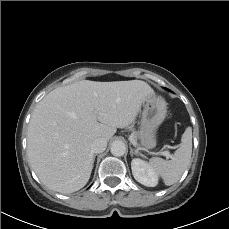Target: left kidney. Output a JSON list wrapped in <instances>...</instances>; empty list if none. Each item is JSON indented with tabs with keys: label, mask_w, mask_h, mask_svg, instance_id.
<instances>
[{
	"label": "left kidney",
	"mask_w": 229,
	"mask_h": 229,
	"mask_svg": "<svg viewBox=\"0 0 229 229\" xmlns=\"http://www.w3.org/2000/svg\"><path fill=\"white\" fill-rule=\"evenodd\" d=\"M132 174L136 181L147 187H154L158 184V175L143 160L135 158L131 162Z\"/></svg>",
	"instance_id": "left-kidney-1"
}]
</instances>
